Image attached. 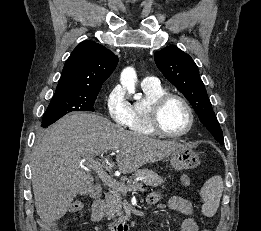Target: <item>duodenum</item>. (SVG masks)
I'll return each instance as SVG.
<instances>
[{
	"mask_svg": "<svg viewBox=\"0 0 261 231\" xmlns=\"http://www.w3.org/2000/svg\"><path fill=\"white\" fill-rule=\"evenodd\" d=\"M104 214L103 205H102V197L99 196L95 199L92 206V217L94 220H99ZM114 231H129V225L126 223H121L113 227Z\"/></svg>",
	"mask_w": 261,
	"mask_h": 231,
	"instance_id": "410a0bca",
	"label": "duodenum"
}]
</instances>
